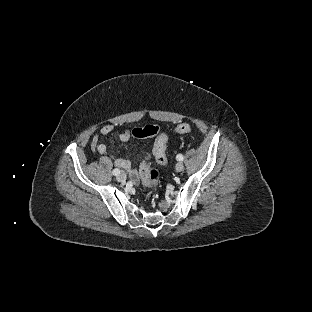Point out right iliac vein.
<instances>
[{"instance_id":"right-iliac-vein-1","label":"right iliac vein","mask_w":312,"mask_h":312,"mask_svg":"<svg viewBox=\"0 0 312 312\" xmlns=\"http://www.w3.org/2000/svg\"><path fill=\"white\" fill-rule=\"evenodd\" d=\"M126 174L125 173H120L118 176H117V180L119 182H124L126 180Z\"/></svg>"}]
</instances>
